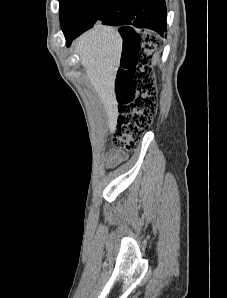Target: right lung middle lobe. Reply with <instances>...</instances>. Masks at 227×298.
I'll list each match as a JSON object with an SVG mask.
<instances>
[{
  "instance_id": "dd1d6c3e",
  "label": "right lung middle lobe",
  "mask_w": 227,
  "mask_h": 298,
  "mask_svg": "<svg viewBox=\"0 0 227 298\" xmlns=\"http://www.w3.org/2000/svg\"><path fill=\"white\" fill-rule=\"evenodd\" d=\"M106 0H59L60 23L64 34L78 30Z\"/></svg>"
}]
</instances>
